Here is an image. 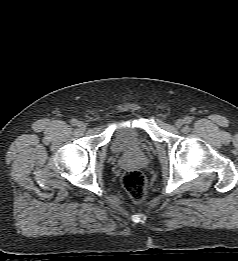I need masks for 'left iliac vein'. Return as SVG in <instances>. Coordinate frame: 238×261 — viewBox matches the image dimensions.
I'll list each match as a JSON object with an SVG mask.
<instances>
[{
  "label": "left iliac vein",
  "mask_w": 238,
  "mask_h": 261,
  "mask_svg": "<svg viewBox=\"0 0 238 261\" xmlns=\"http://www.w3.org/2000/svg\"><path fill=\"white\" fill-rule=\"evenodd\" d=\"M183 124H184V120H182V119H178V120H176V122H175V126H176L177 128H181V127L183 126Z\"/></svg>",
  "instance_id": "4c4485c4"
}]
</instances>
